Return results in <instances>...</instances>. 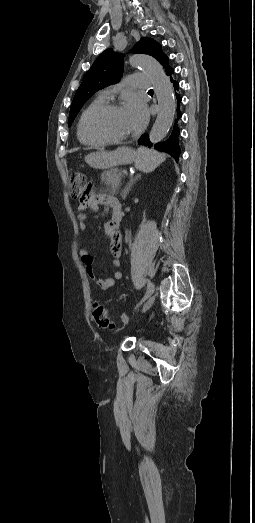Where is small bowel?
I'll list each match as a JSON object with an SVG mask.
<instances>
[{"mask_svg":"<svg viewBox=\"0 0 255 523\" xmlns=\"http://www.w3.org/2000/svg\"><path fill=\"white\" fill-rule=\"evenodd\" d=\"M108 196L105 195H93L89 193V196L80 201L78 210V226L82 233L86 231V220H87V210L96 211L101 204H107ZM104 231L110 241V252L113 256V265L119 267L121 265V239L117 231V225L112 221H108L104 224ZM79 256L81 261L85 265L86 273L93 284L98 286L102 290H108L115 284V279H120L122 277V272L120 270L115 271L114 278H99L96 274V271L93 266V258L90 255L89 251L86 248L79 249Z\"/></svg>","mask_w":255,"mask_h":523,"instance_id":"1","label":"small bowel"}]
</instances>
